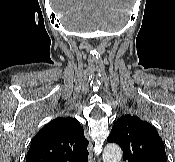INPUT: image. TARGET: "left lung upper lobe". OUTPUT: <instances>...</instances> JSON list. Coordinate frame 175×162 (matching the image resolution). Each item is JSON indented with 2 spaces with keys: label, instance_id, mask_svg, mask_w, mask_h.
Returning <instances> with one entry per match:
<instances>
[{
  "label": "left lung upper lobe",
  "instance_id": "5c2ea615",
  "mask_svg": "<svg viewBox=\"0 0 175 162\" xmlns=\"http://www.w3.org/2000/svg\"><path fill=\"white\" fill-rule=\"evenodd\" d=\"M107 141L121 147L124 161L166 162L161 137L150 123L137 116H121L112 127Z\"/></svg>",
  "mask_w": 175,
  "mask_h": 162
}]
</instances>
